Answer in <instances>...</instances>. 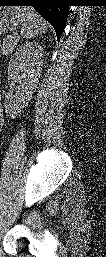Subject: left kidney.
<instances>
[{"label": "left kidney", "instance_id": "1", "mask_svg": "<svg viewBox=\"0 0 106 257\" xmlns=\"http://www.w3.org/2000/svg\"><path fill=\"white\" fill-rule=\"evenodd\" d=\"M43 49L35 42L21 45L13 54L8 65V83L15 94L5 96V108L9 113L18 114L29 100L42 72Z\"/></svg>", "mask_w": 106, "mask_h": 257}]
</instances>
